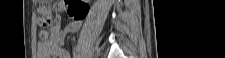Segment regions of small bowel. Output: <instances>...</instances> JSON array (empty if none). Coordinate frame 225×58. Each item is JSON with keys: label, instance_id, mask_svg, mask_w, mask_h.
I'll return each instance as SVG.
<instances>
[{"label": "small bowel", "instance_id": "small-bowel-1", "mask_svg": "<svg viewBox=\"0 0 225 58\" xmlns=\"http://www.w3.org/2000/svg\"><path fill=\"white\" fill-rule=\"evenodd\" d=\"M62 6L61 3L58 4ZM81 25L80 20H72L65 27L57 17L54 27L49 31L48 38L42 39L37 45L38 58H70V54L63 49L67 35L75 33Z\"/></svg>", "mask_w": 225, "mask_h": 58}]
</instances>
